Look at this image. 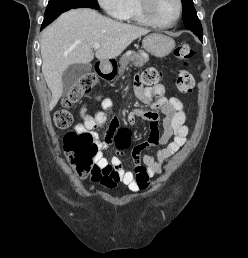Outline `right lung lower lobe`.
Wrapping results in <instances>:
<instances>
[{
	"instance_id": "98d812e1",
	"label": "right lung lower lobe",
	"mask_w": 248,
	"mask_h": 258,
	"mask_svg": "<svg viewBox=\"0 0 248 258\" xmlns=\"http://www.w3.org/2000/svg\"><path fill=\"white\" fill-rule=\"evenodd\" d=\"M58 17V16H57ZM57 17H54L52 19H49V20H44L43 23H42V26H41V30L43 28H45L47 25H49L53 20H55Z\"/></svg>"
}]
</instances>
